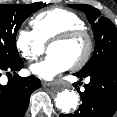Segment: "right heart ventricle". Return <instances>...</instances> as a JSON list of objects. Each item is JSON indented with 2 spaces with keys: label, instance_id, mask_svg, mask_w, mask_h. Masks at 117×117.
<instances>
[{
  "label": "right heart ventricle",
  "instance_id": "right-heart-ventricle-1",
  "mask_svg": "<svg viewBox=\"0 0 117 117\" xmlns=\"http://www.w3.org/2000/svg\"><path fill=\"white\" fill-rule=\"evenodd\" d=\"M35 34L46 44L56 35L72 29H84L85 22L74 11L55 7L38 13L31 21Z\"/></svg>",
  "mask_w": 117,
  "mask_h": 117
}]
</instances>
